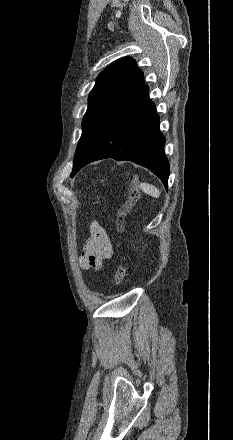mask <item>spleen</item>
<instances>
[{"mask_svg": "<svg viewBox=\"0 0 233 440\" xmlns=\"http://www.w3.org/2000/svg\"><path fill=\"white\" fill-rule=\"evenodd\" d=\"M139 187L144 193H146L154 198L160 197V191L154 185L143 182V183H140Z\"/></svg>", "mask_w": 233, "mask_h": 440, "instance_id": "1", "label": "spleen"}]
</instances>
